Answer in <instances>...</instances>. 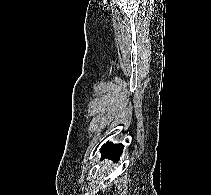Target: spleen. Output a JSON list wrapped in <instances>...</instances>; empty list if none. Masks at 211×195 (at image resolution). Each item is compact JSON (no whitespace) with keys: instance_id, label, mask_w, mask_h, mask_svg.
Returning <instances> with one entry per match:
<instances>
[{"instance_id":"3e777b00","label":"spleen","mask_w":211,"mask_h":195,"mask_svg":"<svg viewBox=\"0 0 211 195\" xmlns=\"http://www.w3.org/2000/svg\"><path fill=\"white\" fill-rule=\"evenodd\" d=\"M112 162L111 161H105L104 163H103V165L100 167V171L101 172H109V166H110V164H111Z\"/></svg>"}]
</instances>
